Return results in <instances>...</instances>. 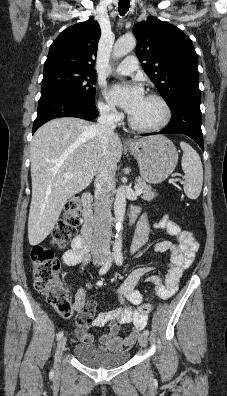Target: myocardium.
Segmentation results:
<instances>
[{
    "label": "myocardium",
    "mask_w": 227,
    "mask_h": 396,
    "mask_svg": "<svg viewBox=\"0 0 227 396\" xmlns=\"http://www.w3.org/2000/svg\"><path fill=\"white\" fill-rule=\"evenodd\" d=\"M147 97L150 99H153L159 103V105L161 106V108L163 110L162 119L157 124L150 125V126H144V125H140V124L136 123L134 121V119L132 118V116H129L128 122H129L130 127L136 131L144 132V133L157 132V131L162 130L169 124V122L172 118V110L170 108V105L166 101V99L164 97H162L161 95L156 94V93H150L147 95Z\"/></svg>",
    "instance_id": "1"
}]
</instances>
